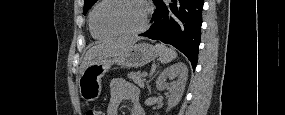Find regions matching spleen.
Instances as JSON below:
<instances>
[{"mask_svg": "<svg viewBox=\"0 0 285 115\" xmlns=\"http://www.w3.org/2000/svg\"><path fill=\"white\" fill-rule=\"evenodd\" d=\"M155 48L159 54V60L163 64H167L177 57V53L173 48H169L164 44H156Z\"/></svg>", "mask_w": 285, "mask_h": 115, "instance_id": "3e777b00", "label": "spleen"}]
</instances>
